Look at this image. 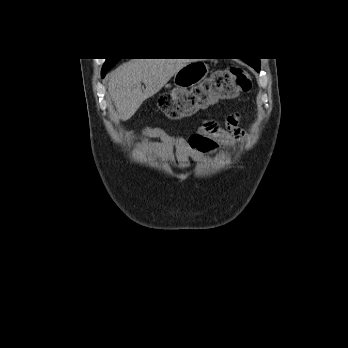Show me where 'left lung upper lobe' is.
Returning a JSON list of instances; mask_svg holds the SVG:
<instances>
[{"mask_svg": "<svg viewBox=\"0 0 348 348\" xmlns=\"http://www.w3.org/2000/svg\"><path fill=\"white\" fill-rule=\"evenodd\" d=\"M246 63H248L250 66H252L256 71H260V62L259 59H253V60H245Z\"/></svg>", "mask_w": 348, "mask_h": 348, "instance_id": "obj_1", "label": "left lung upper lobe"}]
</instances>
